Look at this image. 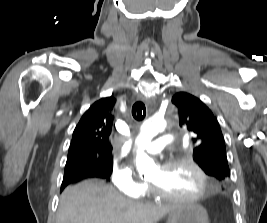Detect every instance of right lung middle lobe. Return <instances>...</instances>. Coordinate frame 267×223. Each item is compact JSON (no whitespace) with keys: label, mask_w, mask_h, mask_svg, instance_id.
I'll list each match as a JSON object with an SVG mask.
<instances>
[{"label":"right lung middle lobe","mask_w":267,"mask_h":223,"mask_svg":"<svg viewBox=\"0 0 267 223\" xmlns=\"http://www.w3.org/2000/svg\"><path fill=\"white\" fill-rule=\"evenodd\" d=\"M112 156L108 158H102L100 160H87L83 159L80 161H70L66 163L65 172H70L74 170H83L96 172L102 175V178L109 180L112 173Z\"/></svg>","instance_id":"obj_1"}]
</instances>
